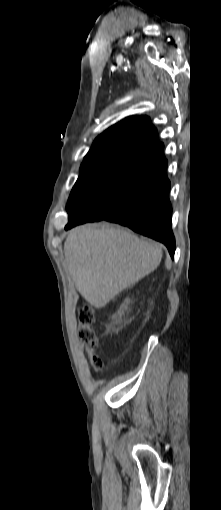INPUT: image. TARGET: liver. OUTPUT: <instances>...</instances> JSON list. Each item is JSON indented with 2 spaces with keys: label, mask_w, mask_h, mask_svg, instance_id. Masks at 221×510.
Returning <instances> with one entry per match:
<instances>
[{
  "label": "liver",
  "mask_w": 221,
  "mask_h": 510,
  "mask_svg": "<svg viewBox=\"0 0 221 510\" xmlns=\"http://www.w3.org/2000/svg\"><path fill=\"white\" fill-rule=\"evenodd\" d=\"M64 253L76 289L95 308L154 271L162 259L159 243L110 224L72 229Z\"/></svg>",
  "instance_id": "1"
}]
</instances>
